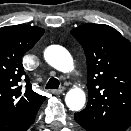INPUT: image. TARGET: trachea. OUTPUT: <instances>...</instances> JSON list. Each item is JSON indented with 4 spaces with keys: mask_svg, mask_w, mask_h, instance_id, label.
<instances>
[{
    "mask_svg": "<svg viewBox=\"0 0 131 131\" xmlns=\"http://www.w3.org/2000/svg\"><path fill=\"white\" fill-rule=\"evenodd\" d=\"M59 85L60 82L58 79L51 78L46 85V89H58Z\"/></svg>",
    "mask_w": 131,
    "mask_h": 131,
    "instance_id": "1",
    "label": "trachea"
}]
</instances>
